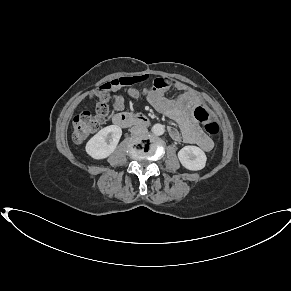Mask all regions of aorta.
<instances>
[{"mask_svg":"<svg viewBox=\"0 0 291 291\" xmlns=\"http://www.w3.org/2000/svg\"><path fill=\"white\" fill-rule=\"evenodd\" d=\"M152 132L157 136L163 135L165 132V127L162 124H155L152 127Z\"/></svg>","mask_w":291,"mask_h":291,"instance_id":"aorta-1","label":"aorta"}]
</instances>
